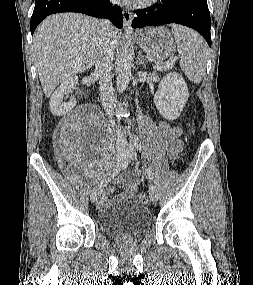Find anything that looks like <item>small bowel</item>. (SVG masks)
Returning a JSON list of instances; mask_svg holds the SVG:
<instances>
[{"mask_svg":"<svg viewBox=\"0 0 253 285\" xmlns=\"http://www.w3.org/2000/svg\"><path fill=\"white\" fill-rule=\"evenodd\" d=\"M158 130L166 140L165 148L168 155L170 158L175 159L183 146L182 140L180 139L181 128L172 125L168 121L161 120L158 123ZM116 181L118 184H123L126 187L125 191L116 198L117 201H126L134 198L137 191L138 179H131L126 175H122L118 177ZM113 194L114 189L108 188L101 198L100 205L103 207L108 206L111 203Z\"/></svg>","mask_w":253,"mask_h":285,"instance_id":"small-bowel-1","label":"small bowel"}]
</instances>
